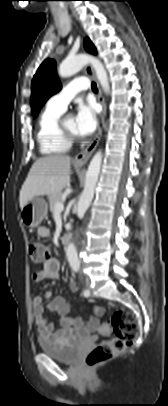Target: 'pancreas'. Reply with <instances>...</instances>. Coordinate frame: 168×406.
<instances>
[{
  "instance_id": "pancreas-1",
  "label": "pancreas",
  "mask_w": 168,
  "mask_h": 406,
  "mask_svg": "<svg viewBox=\"0 0 168 406\" xmlns=\"http://www.w3.org/2000/svg\"><path fill=\"white\" fill-rule=\"evenodd\" d=\"M62 200H63V194L61 192L54 196L49 197L50 211L54 212L56 203L62 202Z\"/></svg>"
}]
</instances>
